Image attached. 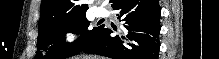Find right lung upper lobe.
I'll return each instance as SVG.
<instances>
[{"instance_id":"right-lung-upper-lobe-1","label":"right lung upper lobe","mask_w":219,"mask_h":59,"mask_svg":"<svg viewBox=\"0 0 219 59\" xmlns=\"http://www.w3.org/2000/svg\"><path fill=\"white\" fill-rule=\"evenodd\" d=\"M87 10L88 5L83 0H42L38 28L54 20L86 14Z\"/></svg>"}]
</instances>
